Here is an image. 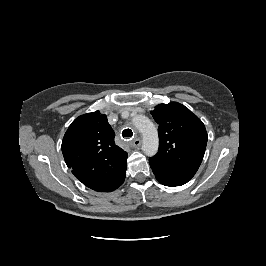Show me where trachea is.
Returning a JSON list of instances; mask_svg holds the SVG:
<instances>
[{"label": "trachea", "instance_id": "1", "mask_svg": "<svg viewBox=\"0 0 266 266\" xmlns=\"http://www.w3.org/2000/svg\"><path fill=\"white\" fill-rule=\"evenodd\" d=\"M122 136H123V138H131L132 136H133V132H132V130L131 129H124L123 131H122Z\"/></svg>", "mask_w": 266, "mask_h": 266}]
</instances>
